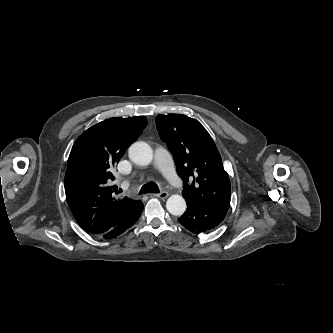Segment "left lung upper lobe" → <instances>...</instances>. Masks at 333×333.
<instances>
[{
  "label": "left lung upper lobe",
  "mask_w": 333,
  "mask_h": 333,
  "mask_svg": "<svg viewBox=\"0 0 333 333\" xmlns=\"http://www.w3.org/2000/svg\"><path fill=\"white\" fill-rule=\"evenodd\" d=\"M156 125L184 182L183 197L199 206L227 212L230 180L219 151L205 128L196 119L182 114L158 115Z\"/></svg>",
  "instance_id": "5c2ea615"
}]
</instances>
